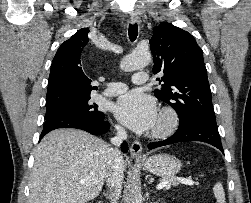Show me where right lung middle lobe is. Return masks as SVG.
<instances>
[{
    "label": "right lung middle lobe",
    "instance_id": "dd1d6c3e",
    "mask_svg": "<svg viewBox=\"0 0 251 203\" xmlns=\"http://www.w3.org/2000/svg\"><path fill=\"white\" fill-rule=\"evenodd\" d=\"M89 99L90 98L56 107L46 108L45 120L66 114H82L91 116L98 120H104V113L98 111L95 105H91L89 103Z\"/></svg>",
    "mask_w": 251,
    "mask_h": 203
}]
</instances>
